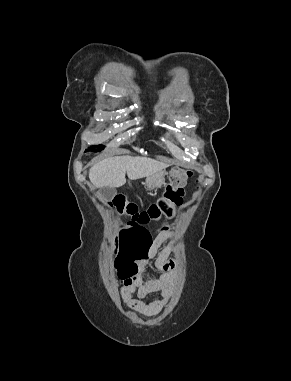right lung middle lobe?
<instances>
[{
    "label": "right lung middle lobe",
    "instance_id": "obj_1",
    "mask_svg": "<svg viewBox=\"0 0 291 381\" xmlns=\"http://www.w3.org/2000/svg\"><path fill=\"white\" fill-rule=\"evenodd\" d=\"M102 149L101 146L98 147V149H93V148H90L88 150H91V151H94V152H97V151H100ZM87 151V150H86Z\"/></svg>",
    "mask_w": 291,
    "mask_h": 381
}]
</instances>
